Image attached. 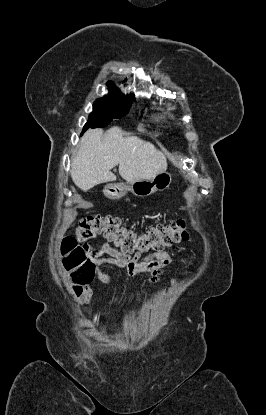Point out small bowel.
Instances as JSON below:
<instances>
[{
    "label": "small bowel",
    "instance_id": "small-bowel-1",
    "mask_svg": "<svg viewBox=\"0 0 266 415\" xmlns=\"http://www.w3.org/2000/svg\"><path fill=\"white\" fill-rule=\"evenodd\" d=\"M93 260L96 265H113L117 267H125L130 278H134L139 274L147 273L150 275L149 281L156 282L163 274V268L171 263V256L165 250L155 251L145 257L142 252H136L133 256L124 254L108 243L103 242L92 251ZM97 277L105 282H111L113 278L103 274L96 269ZM78 293L79 299L86 305L89 310L93 306V292L89 284L84 285ZM118 300L117 297L108 301L107 305L111 306Z\"/></svg>",
    "mask_w": 266,
    "mask_h": 415
}]
</instances>
